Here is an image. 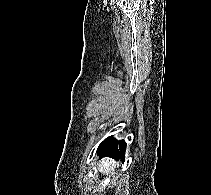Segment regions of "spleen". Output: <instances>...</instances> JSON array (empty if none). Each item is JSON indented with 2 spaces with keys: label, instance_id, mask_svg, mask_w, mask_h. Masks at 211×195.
Returning <instances> with one entry per match:
<instances>
[{
  "label": "spleen",
  "instance_id": "1",
  "mask_svg": "<svg viewBox=\"0 0 211 195\" xmlns=\"http://www.w3.org/2000/svg\"><path fill=\"white\" fill-rule=\"evenodd\" d=\"M117 167H119V164L116 161L109 158L103 159L101 163L98 164V170L102 174H106L107 176L113 174Z\"/></svg>",
  "mask_w": 211,
  "mask_h": 195
}]
</instances>
